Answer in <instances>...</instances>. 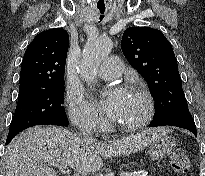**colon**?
I'll use <instances>...</instances> for the list:
<instances>
[{"instance_id":"colon-1","label":"colon","mask_w":205,"mask_h":176,"mask_svg":"<svg viewBox=\"0 0 205 176\" xmlns=\"http://www.w3.org/2000/svg\"><path fill=\"white\" fill-rule=\"evenodd\" d=\"M170 165L172 169L179 174H186L189 170V158L182 149H176L170 156Z\"/></svg>"}]
</instances>
